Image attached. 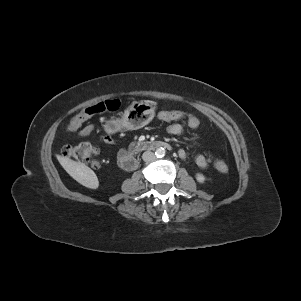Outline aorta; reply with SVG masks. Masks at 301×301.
<instances>
[{"label":"aorta","instance_id":"obj_1","mask_svg":"<svg viewBox=\"0 0 301 301\" xmlns=\"http://www.w3.org/2000/svg\"><path fill=\"white\" fill-rule=\"evenodd\" d=\"M165 149L163 147H159L156 149L155 151V155L158 157V158H161V157H164L165 156Z\"/></svg>","mask_w":301,"mask_h":301}]
</instances>
